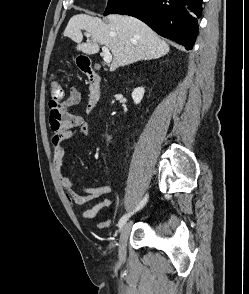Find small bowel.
<instances>
[{
	"instance_id": "1",
	"label": "small bowel",
	"mask_w": 249,
	"mask_h": 294,
	"mask_svg": "<svg viewBox=\"0 0 249 294\" xmlns=\"http://www.w3.org/2000/svg\"><path fill=\"white\" fill-rule=\"evenodd\" d=\"M80 100L81 92L77 87L71 86L65 100L58 103H49V122L53 130L51 138L53 165L60 186L73 207L85 205L111 192V186L104 184L101 186H82L83 194H79L74 191V180L67 177L63 172L64 141L78 136H88L90 133V126L83 117L68 111L70 107L79 104ZM117 203V198H104L90 208L81 211V217L84 220H92L100 212ZM111 223V218H107L97 223L96 227L106 229Z\"/></svg>"
}]
</instances>
